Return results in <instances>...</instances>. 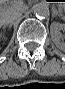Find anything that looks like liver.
<instances>
[{"label": "liver", "instance_id": "6515ba94", "mask_svg": "<svg viewBox=\"0 0 65 89\" xmlns=\"http://www.w3.org/2000/svg\"><path fill=\"white\" fill-rule=\"evenodd\" d=\"M13 5H15V6H13L12 9H9V10L3 8L1 5L0 16L9 18V17L13 16L14 14L21 13L25 9V7H22L16 3H14Z\"/></svg>", "mask_w": 65, "mask_h": 89}]
</instances>
